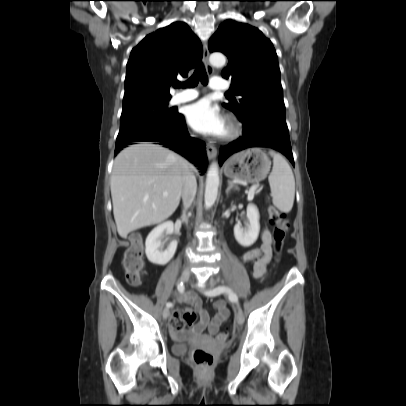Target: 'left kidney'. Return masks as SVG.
<instances>
[{
    "mask_svg": "<svg viewBox=\"0 0 406 406\" xmlns=\"http://www.w3.org/2000/svg\"><path fill=\"white\" fill-rule=\"evenodd\" d=\"M260 231L259 212L255 205L247 206L246 220L244 226L237 223L234 226V236L236 241L243 247H249L255 243Z\"/></svg>",
    "mask_w": 406,
    "mask_h": 406,
    "instance_id": "1",
    "label": "left kidney"
}]
</instances>
